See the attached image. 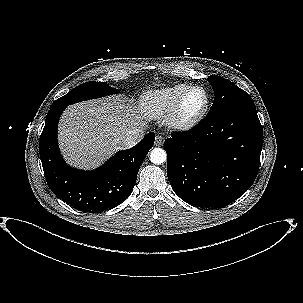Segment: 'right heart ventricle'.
Listing matches in <instances>:
<instances>
[{
	"instance_id": "obj_1",
	"label": "right heart ventricle",
	"mask_w": 303,
	"mask_h": 303,
	"mask_svg": "<svg viewBox=\"0 0 303 303\" xmlns=\"http://www.w3.org/2000/svg\"><path fill=\"white\" fill-rule=\"evenodd\" d=\"M189 87L188 84L179 83L146 91L140 98L141 113L149 119L169 114Z\"/></svg>"
}]
</instances>
